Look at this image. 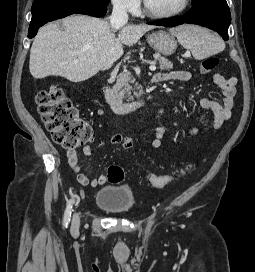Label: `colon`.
I'll use <instances>...</instances> for the list:
<instances>
[{
    "instance_id": "obj_1",
    "label": "colon",
    "mask_w": 255,
    "mask_h": 272,
    "mask_svg": "<svg viewBox=\"0 0 255 272\" xmlns=\"http://www.w3.org/2000/svg\"><path fill=\"white\" fill-rule=\"evenodd\" d=\"M219 64L216 56H209L202 60L199 72L208 74ZM37 110L46 129L51 133L52 139L66 150H76L83 144L89 142L93 137L92 127L81 120L76 109L64 96L62 90L57 86L40 91L36 95ZM193 168V163H188L180 171L183 175ZM124 171L118 165L108 168V179L111 183L121 182ZM151 186L161 188L168 185L174 177L172 175H148Z\"/></svg>"
}]
</instances>
